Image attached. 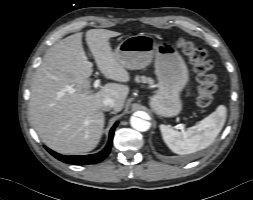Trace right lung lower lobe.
<instances>
[{
	"label": "right lung lower lobe",
	"instance_id": "obj_1",
	"mask_svg": "<svg viewBox=\"0 0 253 200\" xmlns=\"http://www.w3.org/2000/svg\"><path fill=\"white\" fill-rule=\"evenodd\" d=\"M118 122L114 124V126L110 130L109 134V141L106 145V147L100 151L97 154H91V155H73V156H63L60 155L54 151H52L49 148H46L47 151L52 154L55 158L59 159L62 162L69 163V164H94L102 161L106 156L109 154L112 141H113V136H114V130L117 127Z\"/></svg>",
	"mask_w": 253,
	"mask_h": 200
}]
</instances>
